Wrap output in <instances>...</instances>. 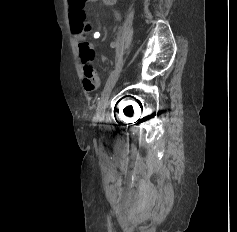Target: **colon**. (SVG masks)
I'll use <instances>...</instances> for the list:
<instances>
[{
  "mask_svg": "<svg viewBox=\"0 0 237 232\" xmlns=\"http://www.w3.org/2000/svg\"><path fill=\"white\" fill-rule=\"evenodd\" d=\"M87 0H69L70 23L72 30L77 35H85L91 30V26L85 18L84 6Z\"/></svg>",
  "mask_w": 237,
  "mask_h": 232,
  "instance_id": "1",
  "label": "colon"
}]
</instances>
